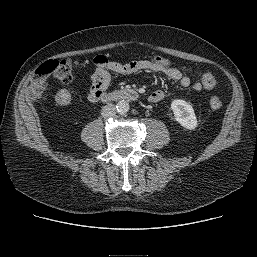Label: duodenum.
<instances>
[{"label":"duodenum","mask_w":257,"mask_h":257,"mask_svg":"<svg viewBox=\"0 0 257 257\" xmlns=\"http://www.w3.org/2000/svg\"><path fill=\"white\" fill-rule=\"evenodd\" d=\"M138 92L134 89H121L111 93H104L101 95L102 102L118 101V100H137Z\"/></svg>","instance_id":"duodenum-1"}]
</instances>
